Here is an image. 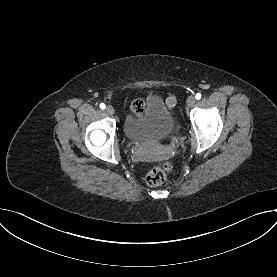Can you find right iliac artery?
Here are the masks:
<instances>
[{"label":"right iliac artery","instance_id":"82829eb1","mask_svg":"<svg viewBox=\"0 0 277 277\" xmlns=\"http://www.w3.org/2000/svg\"><path fill=\"white\" fill-rule=\"evenodd\" d=\"M105 107H106V106H105L104 103H101V104H100V108H101V109H105Z\"/></svg>","mask_w":277,"mask_h":277}]
</instances>
